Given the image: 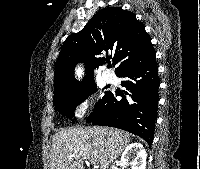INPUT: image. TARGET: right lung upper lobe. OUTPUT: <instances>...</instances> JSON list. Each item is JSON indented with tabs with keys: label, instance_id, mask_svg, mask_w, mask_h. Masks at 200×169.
<instances>
[{
	"label": "right lung upper lobe",
	"instance_id": "cb5924a9",
	"mask_svg": "<svg viewBox=\"0 0 200 169\" xmlns=\"http://www.w3.org/2000/svg\"><path fill=\"white\" fill-rule=\"evenodd\" d=\"M106 53V58L98 55ZM108 53L115 63L116 75L126 67L155 56L151 38L135 14L120 7L99 11L78 33L70 35L61 48L55 65L54 98L72 93L93 80L91 67L109 62ZM84 62L86 76L76 82L73 70Z\"/></svg>",
	"mask_w": 200,
	"mask_h": 169
}]
</instances>
